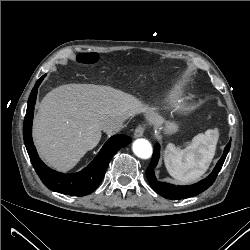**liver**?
Returning <instances> with one entry per match:
<instances>
[{
  "label": "liver",
  "mask_w": 250,
  "mask_h": 250,
  "mask_svg": "<svg viewBox=\"0 0 250 250\" xmlns=\"http://www.w3.org/2000/svg\"><path fill=\"white\" fill-rule=\"evenodd\" d=\"M145 109L133 96L109 86L61 85L47 93L39 105L34 142L46 163L67 171L98 145L107 120L128 119ZM151 115L156 124L163 121Z\"/></svg>",
  "instance_id": "1"
}]
</instances>
